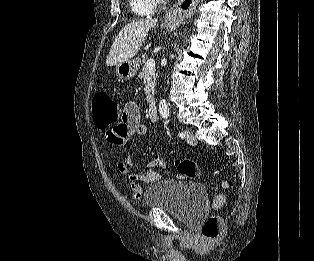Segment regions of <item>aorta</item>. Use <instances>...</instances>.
I'll list each match as a JSON object with an SVG mask.
<instances>
[{
    "mask_svg": "<svg viewBox=\"0 0 314 261\" xmlns=\"http://www.w3.org/2000/svg\"><path fill=\"white\" fill-rule=\"evenodd\" d=\"M159 112H160V115L164 118L169 116V109H168L166 100L164 99H161L159 102Z\"/></svg>",
    "mask_w": 314,
    "mask_h": 261,
    "instance_id": "1",
    "label": "aorta"
}]
</instances>
